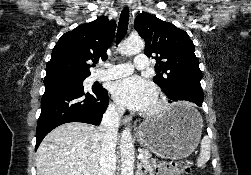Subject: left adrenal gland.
Returning a JSON list of instances; mask_svg holds the SVG:
<instances>
[{
	"mask_svg": "<svg viewBox=\"0 0 251 175\" xmlns=\"http://www.w3.org/2000/svg\"><path fill=\"white\" fill-rule=\"evenodd\" d=\"M136 175H143L142 163L140 161H137Z\"/></svg>",
	"mask_w": 251,
	"mask_h": 175,
	"instance_id": "1",
	"label": "left adrenal gland"
}]
</instances>
